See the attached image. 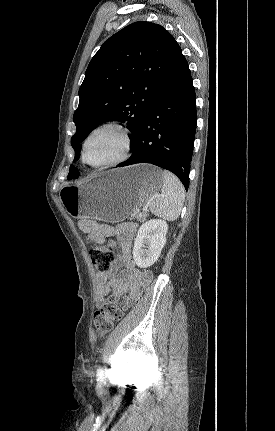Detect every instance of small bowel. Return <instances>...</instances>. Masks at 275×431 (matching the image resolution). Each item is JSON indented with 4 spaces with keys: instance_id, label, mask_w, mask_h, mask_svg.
Returning a JSON list of instances; mask_svg holds the SVG:
<instances>
[{
    "instance_id": "obj_1",
    "label": "small bowel",
    "mask_w": 275,
    "mask_h": 431,
    "mask_svg": "<svg viewBox=\"0 0 275 431\" xmlns=\"http://www.w3.org/2000/svg\"><path fill=\"white\" fill-rule=\"evenodd\" d=\"M79 228L98 243H103L107 238L116 237L112 245H117L120 250L110 270L97 274L95 298L97 307L105 304V297L108 295L123 297L126 308L134 305L152 279L150 273L137 268L132 260L131 247L136 233L135 225L120 223L109 226L94 220L83 219L79 222Z\"/></svg>"
}]
</instances>
